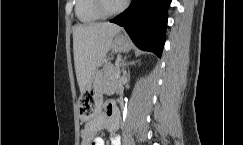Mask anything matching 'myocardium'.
Returning a JSON list of instances; mask_svg holds the SVG:
<instances>
[{"instance_id": "obj_1", "label": "myocardium", "mask_w": 243, "mask_h": 145, "mask_svg": "<svg viewBox=\"0 0 243 145\" xmlns=\"http://www.w3.org/2000/svg\"><path fill=\"white\" fill-rule=\"evenodd\" d=\"M129 0H124L122 4L115 8L110 9L107 6L106 0H94L96 11L103 17H109L121 13L128 5Z\"/></svg>"}]
</instances>
